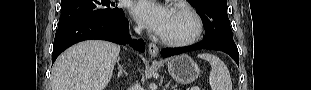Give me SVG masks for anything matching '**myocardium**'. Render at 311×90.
Returning <instances> with one entry per match:
<instances>
[{"label":"myocardium","instance_id":"1","mask_svg":"<svg viewBox=\"0 0 311 90\" xmlns=\"http://www.w3.org/2000/svg\"><path fill=\"white\" fill-rule=\"evenodd\" d=\"M174 9L182 12L191 19L193 31L189 36L183 38H171L162 35L160 37L161 41L166 45L175 47L188 46L195 43L200 38L203 31V23L200 16L187 5H176Z\"/></svg>","mask_w":311,"mask_h":90}]
</instances>
